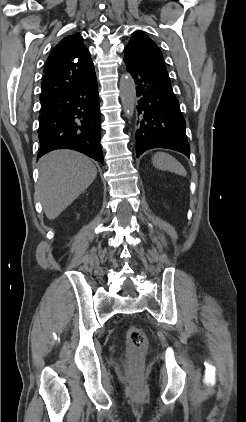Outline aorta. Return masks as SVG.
<instances>
[{
    "instance_id": "1",
    "label": "aorta",
    "mask_w": 246,
    "mask_h": 422,
    "mask_svg": "<svg viewBox=\"0 0 246 422\" xmlns=\"http://www.w3.org/2000/svg\"><path fill=\"white\" fill-rule=\"evenodd\" d=\"M120 98L125 114L131 118L136 104V88L129 73L123 74L119 82Z\"/></svg>"
}]
</instances>
